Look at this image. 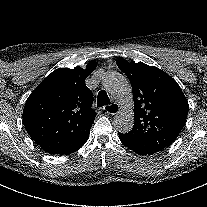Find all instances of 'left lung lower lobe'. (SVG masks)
I'll list each match as a JSON object with an SVG mask.
<instances>
[{
    "instance_id": "obj_1",
    "label": "left lung lower lobe",
    "mask_w": 207,
    "mask_h": 207,
    "mask_svg": "<svg viewBox=\"0 0 207 207\" xmlns=\"http://www.w3.org/2000/svg\"><path fill=\"white\" fill-rule=\"evenodd\" d=\"M119 138H120V140L122 141V143L124 145H126L129 149L133 150L134 152H136L138 154L151 155V154L156 153V152L149 151V150H146V149H143V148H130L127 139L121 133H119Z\"/></svg>"
}]
</instances>
